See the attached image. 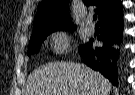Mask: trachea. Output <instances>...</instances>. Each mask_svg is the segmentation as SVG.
I'll return each instance as SVG.
<instances>
[{
    "mask_svg": "<svg viewBox=\"0 0 135 95\" xmlns=\"http://www.w3.org/2000/svg\"><path fill=\"white\" fill-rule=\"evenodd\" d=\"M93 20H97V15L96 14L93 16Z\"/></svg>",
    "mask_w": 135,
    "mask_h": 95,
    "instance_id": "trachea-1",
    "label": "trachea"
}]
</instances>
